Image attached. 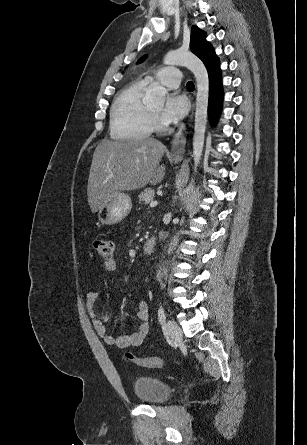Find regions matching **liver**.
Returning a JSON list of instances; mask_svg holds the SVG:
<instances>
[{"label": "liver", "instance_id": "6515ba94", "mask_svg": "<svg viewBox=\"0 0 307 445\" xmlns=\"http://www.w3.org/2000/svg\"><path fill=\"white\" fill-rule=\"evenodd\" d=\"M165 150L166 146L156 138H103L95 148L88 176L87 196L92 212H98L115 192L161 182L165 166H159V162Z\"/></svg>", "mask_w": 307, "mask_h": 445}]
</instances>
